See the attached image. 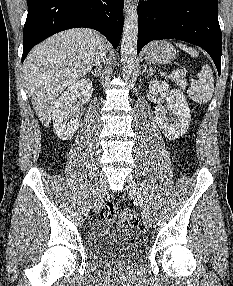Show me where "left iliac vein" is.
Returning a JSON list of instances; mask_svg holds the SVG:
<instances>
[{
	"instance_id": "4c4485c4",
	"label": "left iliac vein",
	"mask_w": 233,
	"mask_h": 286,
	"mask_svg": "<svg viewBox=\"0 0 233 286\" xmlns=\"http://www.w3.org/2000/svg\"><path fill=\"white\" fill-rule=\"evenodd\" d=\"M126 189L128 194L134 198V200L137 202V204L139 205V207L141 208V213H142V218L144 221V224L146 227L150 228L151 227V216L149 213V209L148 206L146 205L140 188L136 182V180L134 179L133 175H128L126 178Z\"/></svg>"
}]
</instances>
